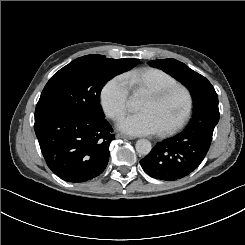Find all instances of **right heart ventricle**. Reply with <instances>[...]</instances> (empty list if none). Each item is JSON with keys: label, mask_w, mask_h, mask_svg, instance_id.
Masks as SVG:
<instances>
[{"label": "right heart ventricle", "mask_w": 245, "mask_h": 245, "mask_svg": "<svg viewBox=\"0 0 245 245\" xmlns=\"http://www.w3.org/2000/svg\"><path fill=\"white\" fill-rule=\"evenodd\" d=\"M133 93H143L148 87H169L179 82L169 73L153 67H140L123 73L120 77Z\"/></svg>", "instance_id": "obj_1"}]
</instances>
